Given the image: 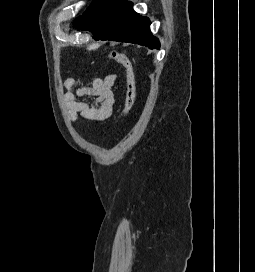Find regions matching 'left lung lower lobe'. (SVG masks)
<instances>
[{
  "label": "left lung lower lobe",
  "instance_id": "0a47b994",
  "mask_svg": "<svg viewBox=\"0 0 255 272\" xmlns=\"http://www.w3.org/2000/svg\"><path fill=\"white\" fill-rule=\"evenodd\" d=\"M73 25L88 30L95 40L129 42L159 48V40L150 32V20L138 15L132 3L121 0H93Z\"/></svg>",
  "mask_w": 255,
  "mask_h": 272
}]
</instances>
